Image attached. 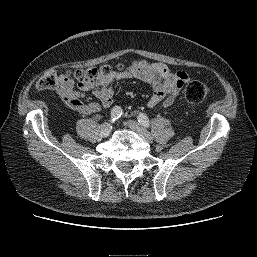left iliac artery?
Returning <instances> with one entry per match:
<instances>
[{"label": "left iliac artery", "mask_w": 257, "mask_h": 257, "mask_svg": "<svg viewBox=\"0 0 257 257\" xmlns=\"http://www.w3.org/2000/svg\"><path fill=\"white\" fill-rule=\"evenodd\" d=\"M138 122L141 123L145 127H149V125H150V121H149L148 117L143 113H140L138 115Z\"/></svg>", "instance_id": "left-iliac-artery-1"}]
</instances>
